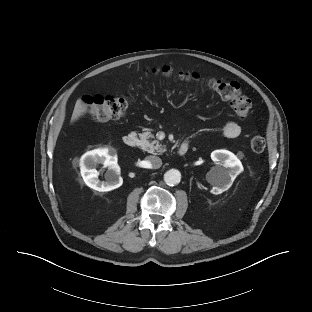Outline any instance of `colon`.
<instances>
[{
  "label": "colon",
  "mask_w": 312,
  "mask_h": 312,
  "mask_svg": "<svg viewBox=\"0 0 312 312\" xmlns=\"http://www.w3.org/2000/svg\"><path fill=\"white\" fill-rule=\"evenodd\" d=\"M163 74H170L169 68L162 69ZM179 76L186 80H197V73L180 72ZM210 87L215 90L223 99L230 103V106L238 118H246L251 111V100L245 96L237 82L221 79H212L209 82ZM85 109L88 114L99 121L117 119L126 114L128 108V99L121 96L94 95L87 96L84 99ZM265 139L261 136H255L250 140L252 151L260 153L265 149Z\"/></svg>",
  "instance_id": "obj_1"
}]
</instances>
